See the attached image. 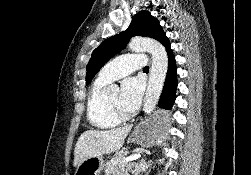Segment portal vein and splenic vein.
Returning <instances> with one entry per match:
<instances>
[{
	"label": "portal vein and splenic vein",
	"mask_w": 251,
	"mask_h": 175,
	"mask_svg": "<svg viewBox=\"0 0 251 175\" xmlns=\"http://www.w3.org/2000/svg\"><path fill=\"white\" fill-rule=\"evenodd\" d=\"M141 157V153H134V155H130V157H126L125 161H131V159L139 160Z\"/></svg>",
	"instance_id": "18ae733b"
}]
</instances>
